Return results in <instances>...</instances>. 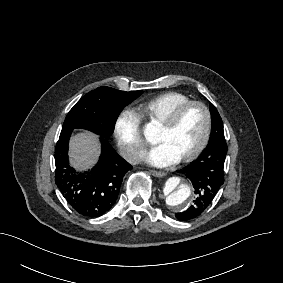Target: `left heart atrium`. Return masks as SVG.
<instances>
[{"label":"left heart atrium","mask_w":283,"mask_h":283,"mask_svg":"<svg viewBox=\"0 0 283 283\" xmlns=\"http://www.w3.org/2000/svg\"><path fill=\"white\" fill-rule=\"evenodd\" d=\"M178 154L167 144L159 143L145 151L141 159L148 165L158 168L175 164L179 160Z\"/></svg>","instance_id":"left-heart-atrium-1"}]
</instances>
